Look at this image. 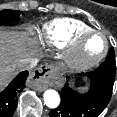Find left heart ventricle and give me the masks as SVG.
Wrapping results in <instances>:
<instances>
[{
    "mask_svg": "<svg viewBox=\"0 0 117 117\" xmlns=\"http://www.w3.org/2000/svg\"><path fill=\"white\" fill-rule=\"evenodd\" d=\"M103 39L99 36L89 37L82 45L81 54L84 58H93L103 49Z\"/></svg>",
    "mask_w": 117,
    "mask_h": 117,
    "instance_id": "left-heart-ventricle-1",
    "label": "left heart ventricle"
}]
</instances>
